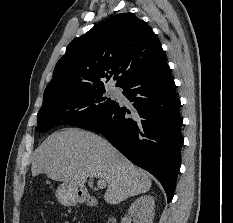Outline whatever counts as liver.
<instances>
[{
  "instance_id": "1",
  "label": "liver",
  "mask_w": 233,
  "mask_h": 223,
  "mask_svg": "<svg viewBox=\"0 0 233 223\" xmlns=\"http://www.w3.org/2000/svg\"><path fill=\"white\" fill-rule=\"evenodd\" d=\"M39 173L81 187L88 177H101L107 183L104 201L111 205L146 193L152 187L147 171L133 165L100 135L78 127H64V131L51 133L35 149L31 175Z\"/></svg>"
}]
</instances>
